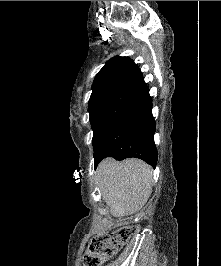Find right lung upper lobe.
<instances>
[{
  "instance_id": "cb5924a9",
  "label": "right lung upper lobe",
  "mask_w": 221,
  "mask_h": 266,
  "mask_svg": "<svg viewBox=\"0 0 221 266\" xmlns=\"http://www.w3.org/2000/svg\"><path fill=\"white\" fill-rule=\"evenodd\" d=\"M119 86H146L140 69L128 57L116 56L108 60L95 76L92 93Z\"/></svg>"
}]
</instances>
